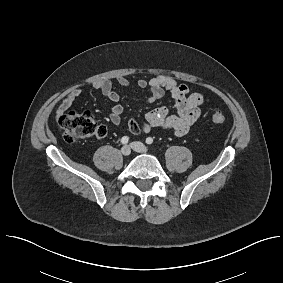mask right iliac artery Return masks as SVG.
<instances>
[{"label":"right iliac artery","mask_w":283,"mask_h":283,"mask_svg":"<svg viewBox=\"0 0 283 283\" xmlns=\"http://www.w3.org/2000/svg\"><path fill=\"white\" fill-rule=\"evenodd\" d=\"M128 141H129V137H127V136H124V137H122V139H121V143H122V144H127Z\"/></svg>","instance_id":"obj_1"}]
</instances>
